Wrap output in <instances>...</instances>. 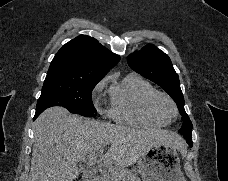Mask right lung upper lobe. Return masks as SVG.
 <instances>
[{
  "mask_svg": "<svg viewBox=\"0 0 228 181\" xmlns=\"http://www.w3.org/2000/svg\"><path fill=\"white\" fill-rule=\"evenodd\" d=\"M119 60L118 55L110 52L96 39L81 35L63 45L57 52L46 79L100 81Z\"/></svg>",
  "mask_w": 228,
  "mask_h": 181,
  "instance_id": "right-lung-upper-lobe-1",
  "label": "right lung upper lobe"
}]
</instances>
